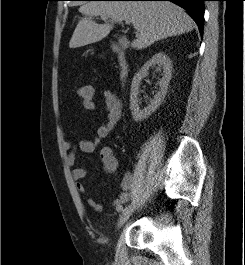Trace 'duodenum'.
<instances>
[{"label":"duodenum","instance_id":"410a0bca","mask_svg":"<svg viewBox=\"0 0 245 265\" xmlns=\"http://www.w3.org/2000/svg\"><path fill=\"white\" fill-rule=\"evenodd\" d=\"M113 50L117 56L119 77L122 81H125L129 74V63L127 54L125 50L119 45H114Z\"/></svg>","mask_w":245,"mask_h":265}]
</instances>
